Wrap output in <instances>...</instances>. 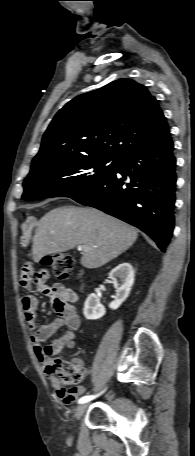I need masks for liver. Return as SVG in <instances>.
Wrapping results in <instances>:
<instances>
[{
  "instance_id": "liver-1",
  "label": "liver",
  "mask_w": 195,
  "mask_h": 456,
  "mask_svg": "<svg viewBox=\"0 0 195 456\" xmlns=\"http://www.w3.org/2000/svg\"><path fill=\"white\" fill-rule=\"evenodd\" d=\"M138 230L97 209L59 207L45 214L33 239V260L38 263L56 254L84 245L81 264L99 268L129 249Z\"/></svg>"
}]
</instances>
